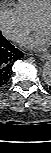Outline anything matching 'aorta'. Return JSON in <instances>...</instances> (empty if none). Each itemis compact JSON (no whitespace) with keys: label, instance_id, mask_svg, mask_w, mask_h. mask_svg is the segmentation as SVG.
<instances>
[{"label":"aorta","instance_id":"1","mask_svg":"<svg viewBox=\"0 0 51 153\" xmlns=\"http://www.w3.org/2000/svg\"><path fill=\"white\" fill-rule=\"evenodd\" d=\"M42 78L45 83H47V84L51 83V63H50V61H46L43 66Z\"/></svg>","mask_w":51,"mask_h":153}]
</instances>
